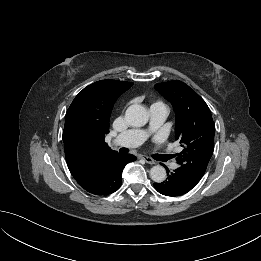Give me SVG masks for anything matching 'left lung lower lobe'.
I'll list each match as a JSON object with an SVG mask.
<instances>
[{
    "mask_svg": "<svg viewBox=\"0 0 261 261\" xmlns=\"http://www.w3.org/2000/svg\"><path fill=\"white\" fill-rule=\"evenodd\" d=\"M167 175L168 177L164 182L154 183L155 189L166 196H180L186 194L199 182L180 167L171 173L168 172Z\"/></svg>",
    "mask_w": 261,
    "mask_h": 261,
    "instance_id": "left-lung-lower-lobe-1",
    "label": "left lung lower lobe"
}]
</instances>
